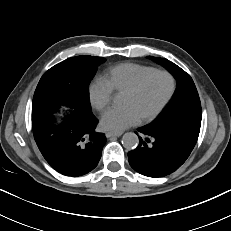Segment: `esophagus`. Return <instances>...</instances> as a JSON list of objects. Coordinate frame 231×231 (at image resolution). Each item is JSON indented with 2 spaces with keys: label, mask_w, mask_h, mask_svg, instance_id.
I'll return each instance as SVG.
<instances>
[{
  "label": "esophagus",
  "mask_w": 231,
  "mask_h": 231,
  "mask_svg": "<svg viewBox=\"0 0 231 231\" xmlns=\"http://www.w3.org/2000/svg\"><path fill=\"white\" fill-rule=\"evenodd\" d=\"M122 135V132H118V133H115V132H108L106 133V137L107 138H112V137H119Z\"/></svg>",
  "instance_id": "obj_1"
}]
</instances>
